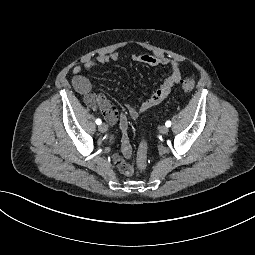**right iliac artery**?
Here are the masks:
<instances>
[{"instance_id": "1", "label": "right iliac artery", "mask_w": 255, "mask_h": 255, "mask_svg": "<svg viewBox=\"0 0 255 255\" xmlns=\"http://www.w3.org/2000/svg\"><path fill=\"white\" fill-rule=\"evenodd\" d=\"M102 123V121L100 119H96V124L100 125Z\"/></svg>"}]
</instances>
